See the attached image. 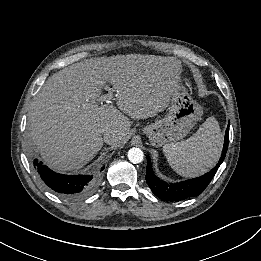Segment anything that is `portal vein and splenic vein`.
I'll use <instances>...</instances> for the list:
<instances>
[{"label": "portal vein and splenic vein", "instance_id": "obj_1", "mask_svg": "<svg viewBox=\"0 0 261 261\" xmlns=\"http://www.w3.org/2000/svg\"><path fill=\"white\" fill-rule=\"evenodd\" d=\"M106 90H108L109 91V93L108 94H106V95H102V96H98L97 98H96V100L97 101H99V102H109V100H111L112 99V92L114 91V89L112 88H109V87H106Z\"/></svg>", "mask_w": 261, "mask_h": 261}]
</instances>
